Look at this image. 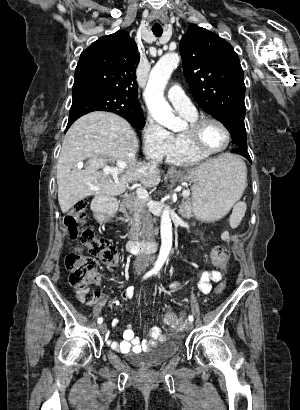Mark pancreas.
Instances as JSON below:
<instances>
[{
  "label": "pancreas",
  "mask_w": 300,
  "mask_h": 410,
  "mask_svg": "<svg viewBox=\"0 0 300 410\" xmlns=\"http://www.w3.org/2000/svg\"><path fill=\"white\" fill-rule=\"evenodd\" d=\"M146 210V204L137 195H131L122 200L120 203V211L124 214L125 220L131 226L130 234L138 230L141 214ZM179 213L183 217L190 218L192 216V199L185 198L180 206Z\"/></svg>",
  "instance_id": "1"
}]
</instances>
